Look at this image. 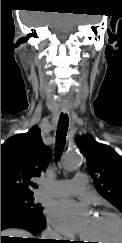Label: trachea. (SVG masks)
<instances>
[{"instance_id": "trachea-1", "label": "trachea", "mask_w": 122, "mask_h": 243, "mask_svg": "<svg viewBox=\"0 0 122 243\" xmlns=\"http://www.w3.org/2000/svg\"><path fill=\"white\" fill-rule=\"evenodd\" d=\"M69 119L67 114H61L58 122L56 131L57 146H56V157L58 158L63 151L64 143L66 140V134L68 130Z\"/></svg>"}]
</instances>
